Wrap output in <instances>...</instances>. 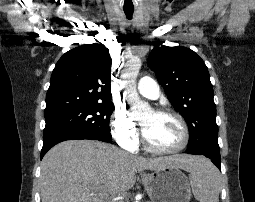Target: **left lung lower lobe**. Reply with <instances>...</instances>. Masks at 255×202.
<instances>
[{
  "label": "left lung lower lobe",
  "instance_id": "obj_1",
  "mask_svg": "<svg viewBox=\"0 0 255 202\" xmlns=\"http://www.w3.org/2000/svg\"><path fill=\"white\" fill-rule=\"evenodd\" d=\"M186 153H189L186 151ZM193 154V153H189ZM197 155H204L211 159V161L221 170V159H220V153H203V154H197Z\"/></svg>",
  "mask_w": 255,
  "mask_h": 202
}]
</instances>
